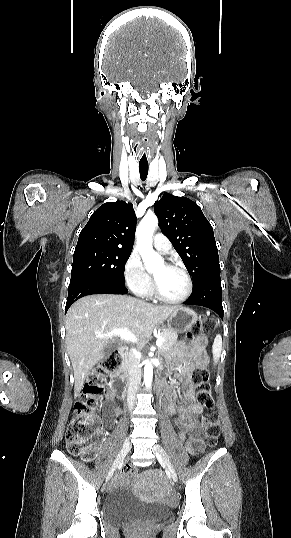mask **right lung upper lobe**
<instances>
[{
  "instance_id": "obj_1",
  "label": "right lung upper lobe",
  "mask_w": 291,
  "mask_h": 538,
  "mask_svg": "<svg viewBox=\"0 0 291 538\" xmlns=\"http://www.w3.org/2000/svg\"><path fill=\"white\" fill-rule=\"evenodd\" d=\"M136 216L131 203L108 202L90 217L79 234L75 251L100 247L132 250Z\"/></svg>"
}]
</instances>
